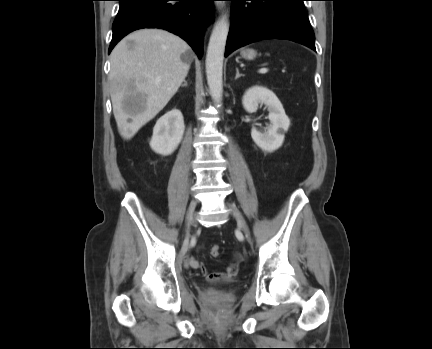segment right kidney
<instances>
[{"mask_svg": "<svg viewBox=\"0 0 432 349\" xmlns=\"http://www.w3.org/2000/svg\"><path fill=\"white\" fill-rule=\"evenodd\" d=\"M185 126L180 110L174 108L161 116L154 128L150 146L158 154H172L180 144Z\"/></svg>", "mask_w": 432, "mask_h": 349, "instance_id": "right-kidney-1", "label": "right kidney"}]
</instances>
